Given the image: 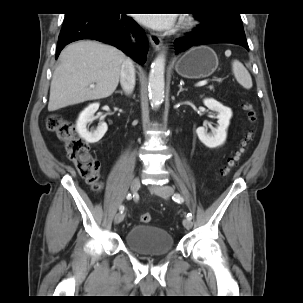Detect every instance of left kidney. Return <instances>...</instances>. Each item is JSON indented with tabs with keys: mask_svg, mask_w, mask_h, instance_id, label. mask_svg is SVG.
<instances>
[{
	"mask_svg": "<svg viewBox=\"0 0 303 303\" xmlns=\"http://www.w3.org/2000/svg\"><path fill=\"white\" fill-rule=\"evenodd\" d=\"M203 103L210 110L218 113V126L208 134L207 129L198 127L196 130L199 140L208 148H216L224 144L227 138V129L232 117V110L212 98H206Z\"/></svg>",
	"mask_w": 303,
	"mask_h": 303,
	"instance_id": "obj_1",
	"label": "left kidney"
}]
</instances>
